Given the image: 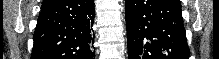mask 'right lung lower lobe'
I'll return each instance as SVG.
<instances>
[{
  "mask_svg": "<svg viewBox=\"0 0 219 59\" xmlns=\"http://www.w3.org/2000/svg\"><path fill=\"white\" fill-rule=\"evenodd\" d=\"M94 0H44L31 59H91Z\"/></svg>",
  "mask_w": 219,
  "mask_h": 59,
  "instance_id": "98d812e1",
  "label": "right lung lower lobe"
}]
</instances>
